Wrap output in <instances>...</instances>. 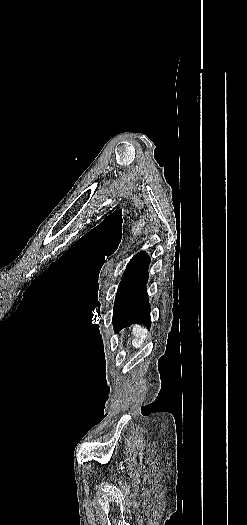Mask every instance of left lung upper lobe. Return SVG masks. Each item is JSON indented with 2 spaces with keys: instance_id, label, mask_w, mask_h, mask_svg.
<instances>
[{
  "instance_id": "obj_1",
  "label": "left lung upper lobe",
  "mask_w": 247,
  "mask_h": 525,
  "mask_svg": "<svg viewBox=\"0 0 247 525\" xmlns=\"http://www.w3.org/2000/svg\"><path fill=\"white\" fill-rule=\"evenodd\" d=\"M149 263L150 258L143 251L130 260L119 284L115 302L148 270Z\"/></svg>"
}]
</instances>
